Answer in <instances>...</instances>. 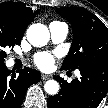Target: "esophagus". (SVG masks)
Segmentation results:
<instances>
[{
    "label": "esophagus",
    "instance_id": "obj_1",
    "mask_svg": "<svg viewBox=\"0 0 108 108\" xmlns=\"http://www.w3.org/2000/svg\"><path fill=\"white\" fill-rule=\"evenodd\" d=\"M41 78H42V80H48V79L51 78V76L50 75L43 74Z\"/></svg>",
    "mask_w": 108,
    "mask_h": 108
}]
</instances>
